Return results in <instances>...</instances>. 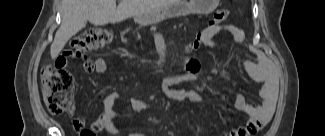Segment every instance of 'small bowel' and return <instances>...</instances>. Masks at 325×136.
Masks as SVG:
<instances>
[{
	"mask_svg": "<svg viewBox=\"0 0 325 136\" xmlns=\"http://www.w3.org/2000/svg\"><path fill=\"white\" fill-rule=\"evenodd\" d=\"M222 33L232 35L235 42L242 44L245 36L241 29L231 24L221 25H207L199 33L201 42L211 48L217 50H224L225 46L215 40L216 36ZM72 54L71 48H66L65 53H58L56 59L55 70L61 75L63 83H66L67 88H74L76 82V75L70 73L67 68L68 55ZM257 62H245L247 72L258 82H260L259 95L262 99L260 107L253 106L247 102L241 94L234 95L235 107L249 116V119L238 128L231 129L225 133V136H250L251 132L259 131L262 126L266 125L272 116L275 105L276 96V80L272 74V68L263 54L259 51L255 52ZM201 64L197 60L190 59L186 61V72L182 74L172 75L166 77L160 84L161 92L168 98L175 101L189 100L191 102L202 104L205 107V98L198 92L184 89H175L174 86L197 81L201 72ZM84 70L86 73L96 72L98 74H105L107 71V64L103 58H96L93 61H86L84 63ZM120 95L116 92L108 94L102 102L101 115L94 121L89 128H84V123L81 118H74L72 124L74 128L81 133L84 130H89L93 133L106 130L112 135L118 134V126L115 122L116 113L114 104L119 99ZM130 107L133 111H141L145 108V103L137 98H132ZM74 108L70 109L72 115ZM205 116V113H204Z\"/></svg>",
	"mask_w": 325,
	"mask_h": 136,
	"instance_id": "c3829d8e",
	"label": "small bowel"
}]
</instances>
